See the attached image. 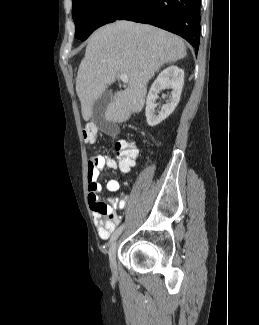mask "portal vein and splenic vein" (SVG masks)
Here are the masks:
<instances>
[{
    "mask_svg": "<svg viewBox=\"0 0 259 325\" xmlns=\"http://www.w3.org/2000/svg\"><path fill=\"white\" fill-rule=\"evenodd\" d=\"M120 79L124 83H128L129 82V78H128V76L126 74H121L120 75Z\"/></svg>",
    "mask_w": 259,
    "mask_h": 325,
    "instance_id": "portal-vein-and-splenic-vein-1",
    "label": "portal vein and splenic vein"
}]
</instances>
